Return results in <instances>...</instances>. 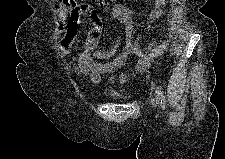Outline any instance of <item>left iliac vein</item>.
Listing matches in <instances>:
<instances>
[{
	"mask_svg": "<svg viewBox=\"0 0 225 159\" xmlns=\"http://www.w3.org/2000/svg\"><path fill=\"white\" fill-rule=\"evenodd\" d=\"M158 99L157 98H153L152 100H151V103H152V105L155 107V106H157V104H158Z\"/></svg>",
	"mask_w": 225,
	"mask_h": 159,
	"instance_id": "obj_1",
	"label": "left iliac vein"
}]
</instances>
